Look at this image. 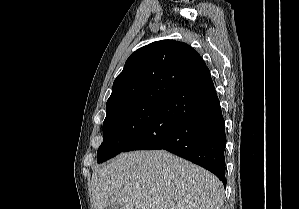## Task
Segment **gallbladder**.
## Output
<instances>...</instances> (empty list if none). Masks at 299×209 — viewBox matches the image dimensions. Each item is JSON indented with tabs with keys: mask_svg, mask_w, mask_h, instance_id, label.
<instances>
[{
	"mask_svg": "<svg viewBox=\"0 0 299 209\" xmlns=\"http://www.w3.org/2000/svg\"><path fill=\"white\" fill-rule=\"evenodd\" d=\"M105 209H124V208L121 206H118L116 204H112V205H109L108 207H106Z\"/></svg>",
	"mask_w": 299,
	"mask_h": 209,
	"instance_id": "1",
	"label": "gallbladder"
}]
</instances>
